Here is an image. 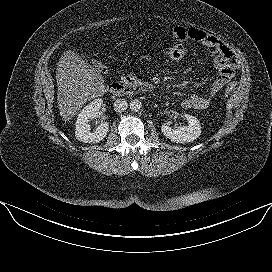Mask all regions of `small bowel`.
I'll list each match as a JSON object with an SVG mask.
<instances>
[{
	"instance_id": "obj_1",
	"label": "small bowel",
	"mask_w": 272,
	"mask_h": 272,
	"mask_svg": "<svg viewBox=\"0 0 272 272\" xmlns=\"http://www.w3.org/2000/svg\"><path fill=\"white\" fill-rule=\"evenodd\" d=\"M173 35L177 40H195L207 47L218 72L209 91L205 95L192 93L187 95L181 105L186 109H207L218 92L234 77L238 62L233 51L218 37L202 29L189 26H176Z\"/></svg>"
}]
</instances>
